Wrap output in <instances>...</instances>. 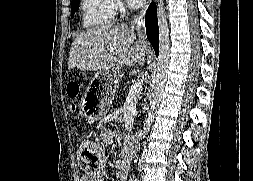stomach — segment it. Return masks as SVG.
Here are the masks:
<instances>
[{"instance_id":"0dacf381","label":"stomach","mask_w":253,"mask_h":181,"mask_svg":"<svg viewBox=\"0 0 253 181\" xmlns=\"http://www.w3.org/2000/svg\"><path fill=\"white\" fill-rule=\"evenodd\" d=\"M120 80L119 71H98L87 88L85 100L80 106L81 114L92 122L108 112Z\"/></svg>"}]
</instances>
